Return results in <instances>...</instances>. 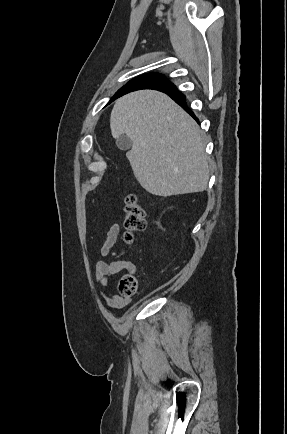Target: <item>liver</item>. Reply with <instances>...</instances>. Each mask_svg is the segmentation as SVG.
<instances>
[{
  "label": "liver",
  "mask_w": 287,
  "mask_h": 434,
  "mask_svg": "<svg viewBox=\"0 0 287 434\" xmlns=\"http://www.w3.org/2000/svg\"><path fill=\"white\" fill-rule=\"evenodd\" d=\"M114 138L132 142L127 158L140 185L157 196L202 192L209 169L204 136L170 97L142 90L118 99L110 116Z\"/></svg>",
  "instance_id": "1"
}]
</instances>
